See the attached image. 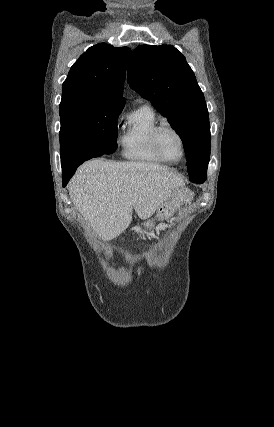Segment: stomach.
Segmentation results:
<instances>
[{
	"label": "stomach",
	"instance_id": "1",
	"mask_svg": "<svg viewBox=\"0 0 274 427\" xmlns=\"http://www.w3.org/2000/svg\"><path fill=\"white\" fill-rule=\"evenodd\" d=\"M172 204L173 202H171V200H168V202H165V204H161L160 208H158L157 210L156 217H158V219H168V217H172L175 210ZM142 225H143L142 235H145V233L146 235H149V233H152L151 229L152 227H154L155 221L154 219H147V221H144Z\"/></svg>",
	"mask_w": 274,
	"mask_h": 427
}]
</instances>
